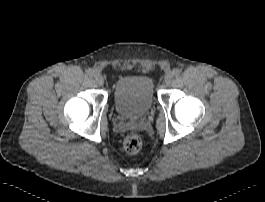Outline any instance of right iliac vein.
<instances>
[{"instance_id":"obj_1","label":"right iliac vein","mask_w":265,"mask_h":202,"mask_svg":"<svg viewBox=\"0 0 265 202\" xmlns=\"http://www.w3.org/2000/svg\"><path fill=\"white\" fill-rule=\"evenodd\" d=\"M94 80L97 85L102 86L104 84V79L100 73L94 74Z\"/></svg>"}]
</instances>
